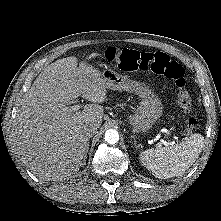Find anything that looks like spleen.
I'll return each mask as SVG.
<instances>
[{
  "mask_svg": "<svg viewBox=\"0 0 221 221\" xmlns=\"http://www.w3.org/2000/svg\"><path fill=\"white\" fill-rule=\"evenodd\" d=\"M204 144L201 134H192L180 143L147 149L139 159L156 178L166 179L178 176L188 169L198 158Z\"/></svg>",
  "mask_w": 221,
  "mask_h": 221,
  "instance_id": "spleen-1",
  "label": "spleen"
}]
</instances>
